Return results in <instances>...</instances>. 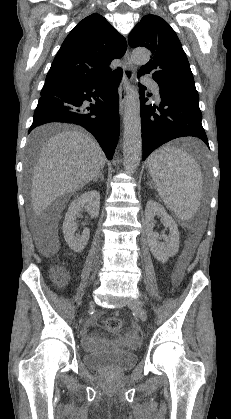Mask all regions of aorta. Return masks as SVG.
<instances>
[{
  "label": "aorta",
  "instance_id": "762f6f07",
  "mask_svg": "<svg viewBox=\"0 0 231 419\" xmlns=\"http://www.w3.org/2000/svg\"><path fill=\"white\" fill-rule=\"evenodd\" d=\"M150 53L146 49H135L131 60L135 64H146ZM123 156L124 166L128 174H134L138 169L142 156L140 98L137 89H130L124 110Z\"/></svg>",
  "mask_w": 231,
  "mask_h": 419
}]
</instances>
